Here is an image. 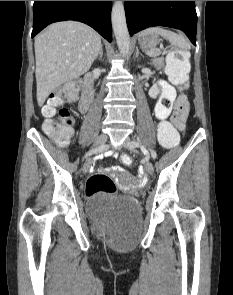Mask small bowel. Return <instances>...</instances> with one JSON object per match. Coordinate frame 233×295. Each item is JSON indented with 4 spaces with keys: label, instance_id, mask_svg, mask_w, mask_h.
Returning <instances> with one entry per match:
<instances>
[{
    "label": "small bowel",
    "instance_id": "c3829d8e",
    "mask_svg": "<svg viewBox=\"0 0 233 295\" xmlns=\"http://www.w3.org/2000/svg\"><path fill=\"white\" fill-rule=\"evenodd\" d=\"M158 87L161 93L160 99L155 106L156 118L163 122L171 116L172 124L180 131L185 129V121L189 110V102L185 95H177L172 84L160 80ZM106 171L123 172L118 166L107 168Z\"/></svg>",
    "mask_w": 233,
    "mask_h": 295
}]
</instances>
